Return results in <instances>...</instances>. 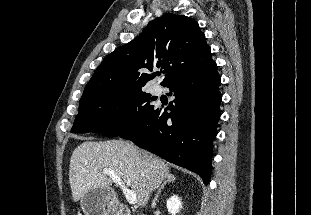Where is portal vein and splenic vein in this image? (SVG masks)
<instances>
[{"mask_svg": "<svg viewBox=\"0 0 311 215\" xmlns=\"http://www.w3.org/2000/svg\"><path fill=\"white\" fill-rule=\"evenodd\" d=\"M103 173L105 175L109 176L112 179V181L121 188L123 194L126 197V200L130 204H136L137 203L136 193L134 191L128 189L127 186L125 185V183L123 182V180L117 174H115L113 171L108 170V169H104Z\"/></svg>", "mask_w": 311, "mask_h": 215, "instance_id": "obj_1", "label": "portal vein and splenic vein"}]
</instances>
